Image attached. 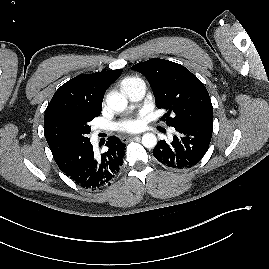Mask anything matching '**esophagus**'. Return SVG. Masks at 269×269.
Returning a JSON list of instances; mask_svg holds the SVG:
<instances>
[{
	"label": "esophagus",
	"instance_id": "34e87169",
	"mask_svg": "<svg viewBox=\"0 0 269 269\" xmlns=\"http://www.w3.org/2000/svg\"><path fill=\"white\" fill-rule=\"evenodd\" d=\"M139 138H140L139 135H134V136L124 137V138L122 139V142H123V143H127V142H129V141H131V140H138Z\"/></svg>",
	"mask_w": 269,
	"mask_h": 269
}]
</instances>
